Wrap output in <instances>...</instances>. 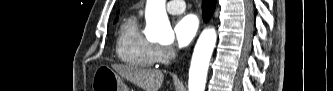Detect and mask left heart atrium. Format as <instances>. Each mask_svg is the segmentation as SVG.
<instances>
[{"mask_svg":"<svg viewBox=\"0 0 333 91\" xmlns=\"http://www.w3.org/2000/svg\"><path fill=\"white\" fill-rule=\"evenodd\" d=\"M198 30V20L192 14L179 18L174 25L175 39L179 47L188 46Z\"/></svg>","mask_w":333,"mask_h":91,"instance_id":"left-heart-atrium-1","label":"left heart atrium"}]
</instances>
